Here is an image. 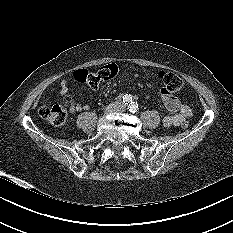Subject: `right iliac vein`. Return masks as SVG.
Instances as JSON below:
<instances>
[{"label":"right iliac vein","mask_w":233,"mask_h":233,"mask_svg":"<svg viewBox=\"0 0 233 233\" xmlns=\"http://www.w3.org/2000/svg\"><path fill=\"white\" fill-rule=\"evenodd\" d=\"M116 107H117L116 104H112V105L108 106L106 109V113H112L113 111H115Z\"/></svg>","instance_id":"obj_1"}]
</instances>
